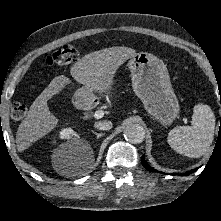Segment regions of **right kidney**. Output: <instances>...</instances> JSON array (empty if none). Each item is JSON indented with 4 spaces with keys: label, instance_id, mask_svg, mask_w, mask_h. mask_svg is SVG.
I'll return each mask as SVG.
<instances>
[{
    "label": "right kidney",
    "instance_id": "right-kidney-1",
    "mask_svg": "<svg viewBox=\"0 0 221 221\" xmlns=\"http://www.w3.org/2000/svg\"><path fill=\"white\" fill-rule=\"evenodd\" d=\"M61 139H79V135L71 128H64L59 132Z\"/></svg>",
    "mask_w": 221,
    "mask_h": 221
}]
</instances>
